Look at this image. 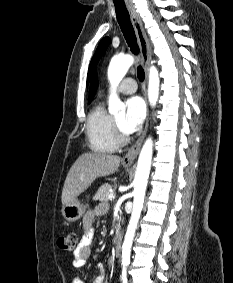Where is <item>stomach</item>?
<instances>
[{
    "instance_id": "0dacf381",
    "label": "stomach",
    "mask_w": 233,
    "mask_h": 283,
    "mask_svg": "<svg viewBox=\"0 0 233 283\" xmlns=\"http://www.w3.org/2000/svg\"><path fill=\"white\" fill-rule=\"evenodd\" d=\"M125 167H128V165H125ZM85 209L86 206L75 198L71 203L63 205L61 212L66 221L75 222L83 216Z\"/></svg>"
}]
</instances>
